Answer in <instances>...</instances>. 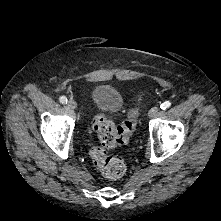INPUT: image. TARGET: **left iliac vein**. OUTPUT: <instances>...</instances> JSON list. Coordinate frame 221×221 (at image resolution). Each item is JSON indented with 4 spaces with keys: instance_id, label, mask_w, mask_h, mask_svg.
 Returning <instances> with one entry per match:
<instances>
[{
    "instance_id": "4c4485c4",
    "label": "left iliac vein",
    "mask_w": 221,
    "mask_h": 221,
    "mask_svg": "<svg viewBox=\"0 0 221 221\" xmlns=\"http://www.w3.org/2000/svg\"><path fill=\"white\" fill-rule=\"evenodd\" d=\"M159 113V107L158 106H154L152 107L149 112H148V116L149 117H154Z\"/></svg>"
}]
</instances>
